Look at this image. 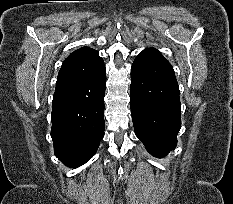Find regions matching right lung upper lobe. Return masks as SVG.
I'll return each instance as SVG.
<instances>
[{
  "mask_svg": "<svg viewBox=\"0 0 233 204\" xmlns=\"http://www.w3.org/2000/svg\"><path fill=\"white\" fill-rule=\"evenodd\" d=\"M104 64L98 52L82 47L71 53L59 71L56 89L90 78Z\"/></svg>",
  "mask_w": 233,
  "mask_h": 204,
  "instance_id": "right-lung-upper-lobe-1",
  "label": "right lung upper lobe"
}]
</instances>
